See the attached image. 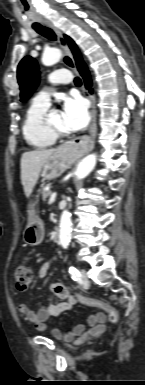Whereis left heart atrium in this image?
<instances>
[{
    "label": "left heart atrium",
    "instance_id": "obj_1",
    "mask_svg": "<svg viewBox=\"0 0 145 385\" xmlns=\"http://www.w3.org/2000/svg\"><path fill=\"white\" fill-rule=\"evenodd\" d=\"M63 120L68 131H79L89 122V112L85 101L78 96L68 97L63 103Z\"/></svg>",
    "mask_w": 145,
    "mask_h": 385
}]
</instances>
